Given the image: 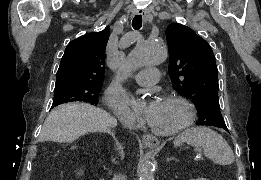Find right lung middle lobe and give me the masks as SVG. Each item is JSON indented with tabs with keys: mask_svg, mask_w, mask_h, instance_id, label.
<instances>
[{
	"mask_svg": "<svg viewBox=\"0 0 261 180\" xmlns=\"http://www.w3.org/2000/svg\"><path fill=\"white\" fill-rule=\"evenodd\" d=\"M102 84L67 83L55 86L53 107L74 101L89 102L97 105Z\"/></svg>",
	"mask_w": 261,
	"mask_h": 180,
	"instance_id": "1",
	"label": "right lung middle lobe"
}]
</instances>
